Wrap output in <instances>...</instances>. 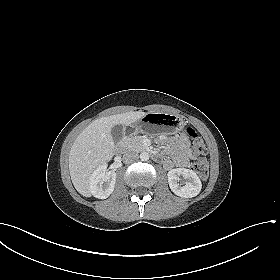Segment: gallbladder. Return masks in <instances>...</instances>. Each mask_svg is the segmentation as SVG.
Returning <instances> with one entry per match:
<instances>
[{
  "mask_svg": "<svg viewBox=\"0 0 280 280\" xmlns=\"http://www.w3.org/2000/svg\"><path fill=\"white\" fill-rule=\"evenodd\" d=\"M111 135L113 137L114 142H119L124 136V126L115 125L111 129Z\"/></svg>",
  "mask_w": 280,
  "mask_h": 280,
  "instance_id": "obj_1",
  "label": "gallbladder"
}]
</instances>
